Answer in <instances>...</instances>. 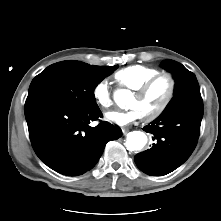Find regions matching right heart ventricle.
<instances>
[{
	"mask_svg": "<svg viewBox=\"0 0 221 221\" xmlns=\"http://www.w3.org/2000/svg\"><path fill=\"white\" fill-rule=\"evenodd\" d=\"M158 73H160V71L156 68L142 65H132L118 71L115 74V78L122 87L134 91L145 81Z\"/></svg>",
	"mask_w": 221,
	"mask_h": 221,
	"instance_id": "1",
	"label": "right heart ventricle"
}]
</instances>
